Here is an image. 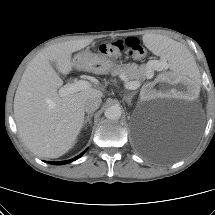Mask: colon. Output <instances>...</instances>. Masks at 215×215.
<instances>
[{"label": "colon", "mask_w": 215, "mask_h": 215, "mask_svg": "<svg viewBox=\"0 0 215 215\" xmlns=\"http://www.w3.org/2000/svg\"><path fill=\"white\" fill-rule=\"evenodd\" d=\"M99 50L103 54L115 57L119 56L123 51H126L134 58H142L146 54L145 48L136 37H129L125 40H116L102 44Z\"/></svg>", "instance_id": "5ec220e1"}]
</instances>
